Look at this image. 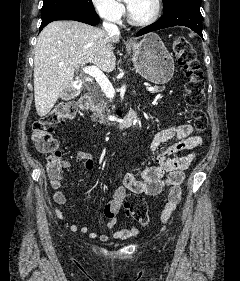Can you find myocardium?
Here are the masks:
<instances>
[{
	"label": "myocardium",
	"mask_w": 240,
	"mask_h": 281,
	"mask_svg": "<svg viewBox=\"0 0 240 281\" xmlns=\"http://www.w3.org/2000/svg\"><path fill=\"white\" fill-rule=\"evenodd\" d=\"M154 2V10L152 15L145 20H136L132 17L129 8H127V21L129 24L136 27H146L153 24L160 16L162 1L161 0H153Z\"/></svg>",
	"instance_id": "1"
}]
</instances>
